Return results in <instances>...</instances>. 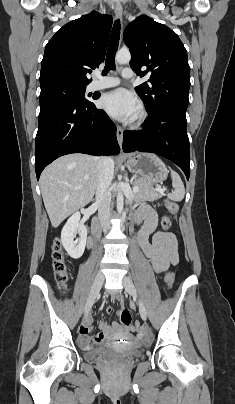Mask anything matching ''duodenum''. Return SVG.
Masks as SVG:
<instances>
[{"instance_id":"410a0bca","label":"duodenum","mask_w":235,"mask_h":404,"mask_svg":"<svg viewBox=\"0 0 235 404\" xmlns=\"http://www.w3.org/2000/svg\"><path fill=\"white\" fill-rule=\"evenodd\" d=\"M89 246L92 247L93 246V240L89 241Z\"/></svg>"}]
</instances>
